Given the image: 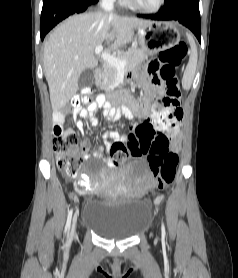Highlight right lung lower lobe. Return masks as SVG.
Segmentation results:
<instances>
[{
	"instance_id": "1",
	"label": "right lung lower lobe",
	"mask_w": 238,
	"mask_h": 278,
	"mask_svg": "<svg viewBox=\"0 0 238 278\" xmlns=\"http://www.w3.org/2000/svg\"><path fill=\"white\" fill-rule=\"evenodd\" d=\"M98 0H43L41 12V40L60 21L74 14L84 12Z\"/></svg>"
}]
</instances>
